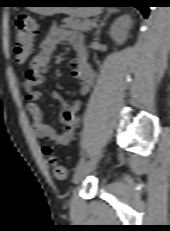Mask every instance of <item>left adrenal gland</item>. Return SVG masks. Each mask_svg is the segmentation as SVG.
Listing matches in <instances>:
<instances>
[{"mask_svg":"<svg viewBox=\"0 0 170 231\" xmlns=\"http://www.w3.org/2000/svg\"><path fill=\"white\" fill-rule=\"evenodd\" d=\"M116 11L115 10H109L107 15L104 17V20L101 22L100 26L98 27L96 33H95V36L96 37H99V34H100V30L101 28L105 25V22L106 20L108 19V17L112 14V13H115Z\"/></svg>","mask_w":170,"mask_h":231,"instance_id":"left-adrenal-gland-1","label":"left adrenal gland"}]
</instances>
